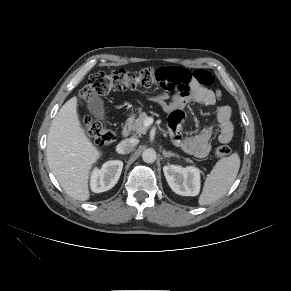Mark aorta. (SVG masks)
I'll return each instance as SVG.
<instances>
[{
	"mask_svg": "<svg viewBox=\"0 0 291 291\" xmlns=\"http://www.w3.org/2000/svg\"><path fill=\"white\" fill-rule=\"evenodd\" d=\"M142 159L146 163H153L156 160V152L152 148H148L143 151Z\"/></svg>",
	"mask_w": 291,
	"mask_h": 291,
	"instance_id": "aorta-1",
	"label": "aorta"
}]
</instances>
